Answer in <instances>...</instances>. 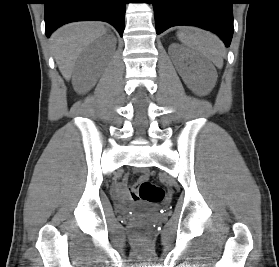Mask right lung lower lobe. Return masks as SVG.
<instances>
[{
  "mask_svg": "<svg viewBox=\"0 0 279 267\" xmlns=\"http://www.w3.org/2000/svg\"><path fill=\"white\" fill-rule=\"evenodd\" d=\"M43 3L47 37L61 25L81 20L105 21L120 36L123 34L126 0H43Z\"/></svg>",
  "mask_w": 279,
  "mask_h": 267,
  "instance_id": "obj_1",
  "label": "right lung lower lobe"
}]
</instances>
